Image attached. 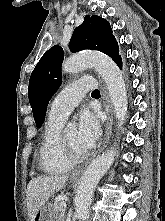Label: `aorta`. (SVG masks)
<instances>
[{"instance_id":"1","label":"aorta","mask_w":165,"mask_h":221,"mask_svg":"<svg viewBox=\"0 0 165 221\" xmlns=\"http://www.w3.org/2000/svg\"><path fill=\"white\" fill-rule=\"evenodd\" d=\"M92 66L104 79L118 126L122 127L127 115V91L122 73L115 62L102 53H84L74 55L64 61V73H77ZM117 151L111 149L96 158L83 173L75 197V212L79 220L86 221L89 217L93 192L102 176L108 171L115 160Z\"/></svg>"}]
</instances>
